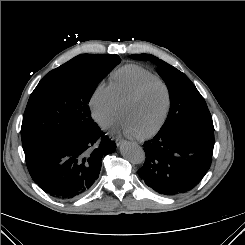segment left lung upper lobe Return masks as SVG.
Returning <instances> with one entry per match:
<instances>
[{"instance_id":"1","label":"left lung upper lobe","mask_w":245,"mask_h":245,"mask_svg":"<svg viewBox=\"0 0 245 245\" xmlns=\"http://www.w3.org/2000/svg\"><path fill=\"white\" fill-rule=\"evenodd\" d=\"M132 59L155 63L170 96L168 117L161 127L166 132L181 123H192L214 130L211 114L204 98L191 80L181 71L151 54H133Z\"/></svg>"}]
</instances>
